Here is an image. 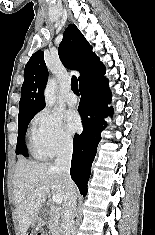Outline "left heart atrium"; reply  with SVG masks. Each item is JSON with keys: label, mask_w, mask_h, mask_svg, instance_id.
Segmentation results:
<instances>
[{"label": "left heart atrium", "mask_w": 155, "mask_h": 235, "mask_svg": "<svg viewBox=\"0 0 155 235\" xmlns=\"http://www.w3.org/2000/svg\"><path fill=\"white\" fill-rule=\"evenodd\" d=\"M65 119L70 132L75 133L80 130L81 120L76 112L68 111L65 115Z\"/></svg>", "instance_id": "obj_1"}]
</instances>
